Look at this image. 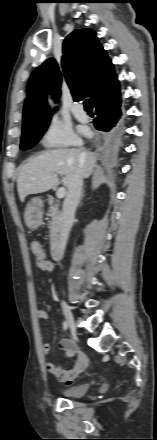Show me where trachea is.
Segmentation results:
<instances>
[{
    "instance_id": "trachea-1",
    "label": "trachea",
    "mask_w": 157,
    "mask_h": 440,
    "mask_svg": "<svg viewBox=\"0 0 157 440\" xmlns=\"http://www.w3.org/2000/svg\"><path fill=\"white\" fill-rule=\"evenodd\" d=\"M84 107H85V110L88 113H92L93 104H92V101L90 99L85 100Z\"/></svg>"
}]
</instances>
